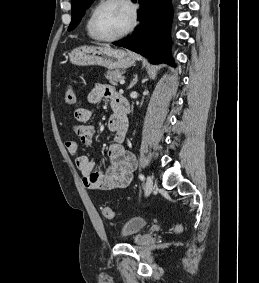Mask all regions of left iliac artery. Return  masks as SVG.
Wrapping results in <instances>:
<instances>
[{
  "label": "left iliac artery",
  "instance_id": "44dca946",
  "mask_svg": "<svg viewBox=\"0 0 259 283\" xmlns=\"http://www.w3.org/2000/svg\"><path fill=\"white\" fill-rule=\"evenodd\" d=\"M139 178H140L141 180H144V175H143V174H140V175H139Z\"/></svg>",
  "mask_w": 259,
  "mask_h": 283
}]
</instances>
